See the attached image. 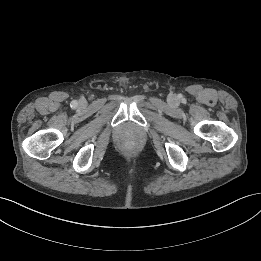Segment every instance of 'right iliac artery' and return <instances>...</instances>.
<instances>
[{"label": "right iliac artery", "mask_w": 261, "mask_h": 261, "mask_svg": "<svg viewBox=\"0 0 261 261\" xmlns=\"http://www.w3.org/2000/svg\"><path fill=\"white\" fill-rule=\"evenodd\" d=\"M76 105H77V102H76V101H73L71 106H72V107H75Z\"/></svg>", "instance_id": "82829eb1"}]
</instances>
